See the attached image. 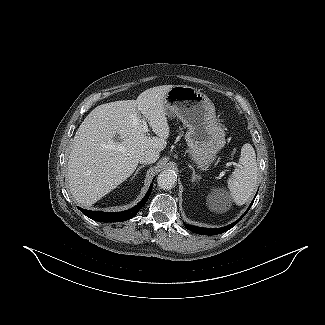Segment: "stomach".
<instances>
[{
	"label": "stomach",
	"mask_w": 325,
	"mask_h": 325,
	"mask_svg": "<svg viewBox=\"0 0 325 325\" xmlns=\"http://www.w3.org/2000/svg\"><path fill=\"white\" fill-rule=\"evenodd\" d=\"M168 116H177L187 127L188 153L199 166L211 164L225 145V131L219 125L213 102L187 85L173 86L165 96Z\"/></svg>",
	"instance_id": "1"
}]
</instances>
